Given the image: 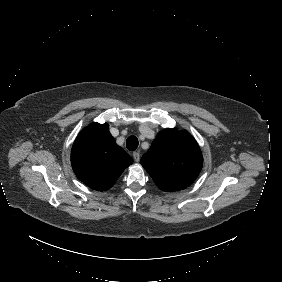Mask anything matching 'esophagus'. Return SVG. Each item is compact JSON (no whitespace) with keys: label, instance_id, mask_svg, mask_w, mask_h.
I'll return each mask as SVG.
<instances>
[{"label":"esophagus","instance_id":"34e87169","mask_svg":"<svg viewBox=\"0 0 282 282\" xmlns=\"http://www.w3.org/2000/svg\"><path fill=\"white\" fill-rule=\"evenodd\" d=\"M133 158H134L135 162H139V160H140L139 152H133Z\"/></svg>","mask_w":282,"mask_h":282}]
</instances>
